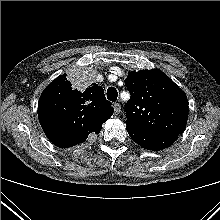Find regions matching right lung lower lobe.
Listing matches in <instances>:
<instances>
[{"instance_id": "1", "label": "right lung lower lobe", "mask_w": 220, "mask_h": 220, "mask_svg": "<svg viewBox=\"0 0 220 220\" xmlns=\"http://www.w3.org/2000/svg\"><path fill=\"white\" fill-rule=\"evenodd\" d=\"M100 130H101V129H100ZM100 130H99V131H100ZM99 131H97L96 133H99ZM83 142H85V141H83ZM81 143H82V142H81ZM79 144H80V143H79Z\"/></svg>"}]
</instances>
